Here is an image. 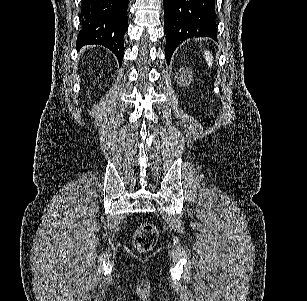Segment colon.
<instances>
[{
  "label": "colon",
  "mask_w": 307,
  "mask_h": 301,
  "mask_svg": "<svg viewBox=\"0 0 307 301\" xmlns=\"http://www.w3.org/2000/svg\"><path fill=\"white\" fill-rule=\"evenodd\" d=\"M158 240V230L152 223L139 225L133 236V244L139 252L150 251Z\"/></svg>",
  "instance_id": "obj_1"
}]
</instances>
